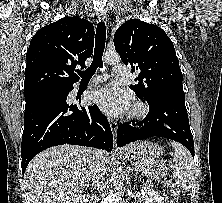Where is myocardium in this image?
<instances>
[{"label": "myocardium", "instance_id": "f54148a6", "mask_svg": "<svg viewBox=\"0 0 222 203\" xmlns=\"http://www.w3.org/2000/svg\"><path fill=\"white\" fill-rule=\"evenodd\" d=\"M148 112V107L146 104H144L143 102H136L130 112H129V116L131 118H141L144 117Z\"/></svg>", "mask_w": 222, "mask_h": 203}]
</instances>
